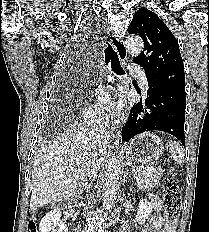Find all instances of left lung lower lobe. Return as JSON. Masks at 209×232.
I'll return each mask as SVG.
<instances>
[{
  "mask_svg": "<svg viewBox=\"0 0 209 232\" xmlns=\"http://www.w3.org/2000/svg\"><path fill=\"white\" fill-rule=\"evenodd\" d=\"M186 95L176 89L149 86L145 102L135 103L123 127L122 140L147 131H164L176 137L185 147Z\"/></svg>",
  "mask_w": 209,
  "mask_h": 232,
  "instance_id": "0a47b994",
  "label": "left lung lower lobe"
}]
</instances>
